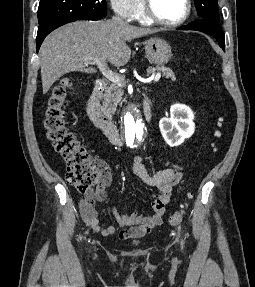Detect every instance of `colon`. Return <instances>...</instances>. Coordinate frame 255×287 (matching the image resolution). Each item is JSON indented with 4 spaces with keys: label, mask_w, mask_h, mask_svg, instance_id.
Here are the masks:
<instances>
[{
    "label": "colon",
    "mask_w": 255,
    "mask_h": 287,
    "mask_svg": "<svg viewBox=\"0 0 255 287\" xmlns=\"http://www.w3.org/2000/svg\"><path fill=\"white\" fill-rule=\"evenodd\" d=\"M70 87L71 81L68 78L62 79L53 87L44 112L43 126L47 139L66 162L68 183L80 193H86L98 182L100 166L92 160L65 124L64 108ZM219 135L220 132L217 131L216 136ZM184 212V209H181L172 214L169 223L180 224Z\"/></svg>",
    "instance_id": "colon-1"
}]
</instances>
